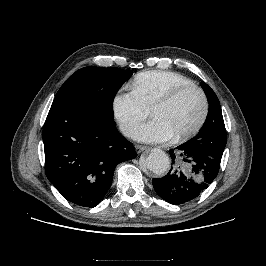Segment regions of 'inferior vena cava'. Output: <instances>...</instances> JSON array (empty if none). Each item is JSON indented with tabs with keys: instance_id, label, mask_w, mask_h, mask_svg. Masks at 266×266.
Listing matches in <instances>:
<instances>
[{
	"instance_id": "1",
	"label": "inferior vena cava",
	"mask_w": 266,
	"mask_h": 266,
	"mask_svg": "<svg viewBox=\"0 0 266 266\" xmlns=\"http://www.w3.org/2000/svg\"><path fill=\"white\" fill-rule=\"evenodd\" d=\"M120 129L125 136L130 137L132 133L131 128H129L128 126H121Z\"/></svg>"
}]
</instances>
